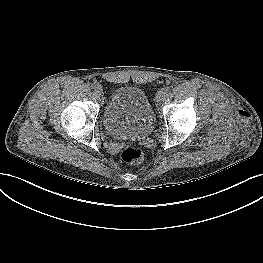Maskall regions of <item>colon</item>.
Here are the masks:
<instances>
[{
	"label": "colon",
	"mask_w": 263,
	"mask_h": 263,
	"mask_svg": "<svg viewBox=\"0 0 263 263\" xmlns=\"http://www.w3.org/2000/svg\"><path fill=\"white\" fill-rule=\"evenodd\" d=\"M121 158L130 163H140L143 159V153L140 148L127 146L121 152Z\"/></svg>",
	"instance_id": "5ec220e1"
}]
</instances>
